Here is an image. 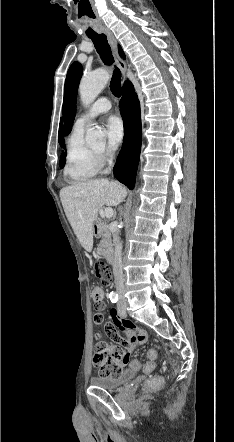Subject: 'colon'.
Listing matches in <instances>:
<instances>
[{"instance_id": "5ec220e1", "label": "colon", "mask_w": 234, "mask_h": 442, "mask_svg": "<svg viewBox=\"0 0 234 442\" xmlns=\"http://www.w3.org/2000/svg\"><path fill=\"white\" fill-rule=\"evenodd\" d=\"M94 271L97 278L104 285H108L111 282L110 267L104 260L97 259L94 262ZM91 297L94 307L97 310L103 309V289L99 286L93 287ZM108 338L110 339L111 337ZM124 349L125 347H120L118 344L116 347H110L105 342L98 344L93 361L94 364L99 367V372L102 376L117 375L124 367H127L130 372L143 369L146 373L151 372L155 368L157 350L153 346L146 347L143 350L148 360L144 365L138 359H134V352L132 350ZM144 387L149 389H162L163 381L160 378L145 381Z\"/></svg>"}]
</instances>
